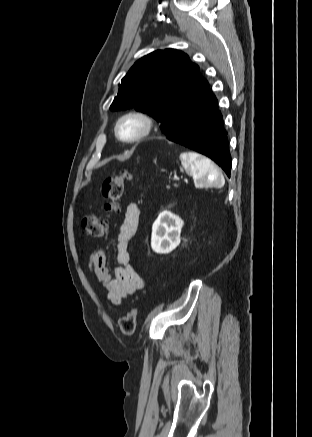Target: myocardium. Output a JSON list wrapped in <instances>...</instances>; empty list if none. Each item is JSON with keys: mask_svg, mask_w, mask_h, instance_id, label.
<instances>
[{"mask_svg": "<svg viewBox=\"0 0 312 437\" xmlns=\"http://www.w3.org/2000/svg\"><path fill=\"white\" fill-rule=\"evenodd\" d=\"M129 118H135L140 120L142 122V130L137 135L126 138L122 136L120 132V127L122 123ZM153 128L154 120L148 113L140 110H132L122 114L118 118L115 124V135L120 141L124 143H136L148 137L153 131Z\"/></svg>", "mask_w": 312, "mask_h": 437, "instance_id": "1", "label": "myocardium"}]
</instances>
